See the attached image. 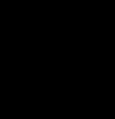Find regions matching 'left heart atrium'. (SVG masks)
I'll return each instance as SVG.
<instances>
[{"label":"left heart atrium","mask_w":115,"mask_h":119,"mask_svg":"<svg viewBox=\"0 0 115 119\" xmlns=\"http://www.w3.org/2000/svg\"><path fill=\"white\" fill-rule=\"evenodd\" d=\"M78 54H79V51H75V52L72 54V57H76Z\"/></svg>","instance_id":"1"}]
</instances>
